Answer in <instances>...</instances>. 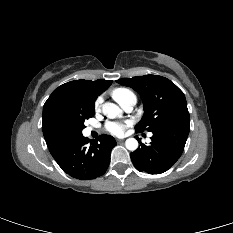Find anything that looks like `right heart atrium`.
<instances>
[{
  "instance_id": "1",
  "label": "right heart atrium",
  "mask_w": 233,
  "mask_h": 233,
  "mask_svg": "<svg viewBox=\"0 0 233 233\" xmlns=\"http://www.w3.org/2000/svg\"><path fill=\"white\" fill-rule=\"evenodd\" d=\"M100 105H101V98H98L96 100L95 106L98 108V107H100Z\"/></svg>"
}]
</instances>
